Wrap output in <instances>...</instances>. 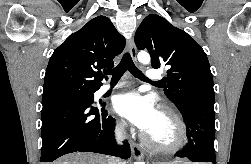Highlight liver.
Wrapping results in <instances>:
<instances>
[{"instance_id": "6515ba94", "label": "liver", "mask_w": 251, "mask_h": 164, "mask_svg": "<svg viewBox=\"0 0 251 164\" xmlns=\"http://www.w3.org/2000/svg\"><path fill=\"white\" fill-rule=\"evenodd\" d=\"M111 159L94 153H72L66 155L53 164H110ZM179 163L180 161H176ZM124 164V163H120Z\"/></svg>"}]
</instances>
